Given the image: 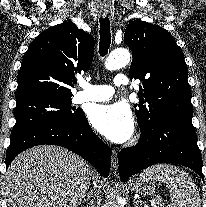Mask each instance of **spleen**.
Returning <instances> with one entry per match:
<instances>
[{
    "label": "spleen",
    "mask_w": 206,
    "mask_h": 207,
    "mask_svg": "<svg viewBox=\"0 0 206 207\" xmlns=\"http://www.w3.org/2000/svg\"><path fill=\"white\" fill-rule=\"evenodd\" d=\"M140 176L166 184L170 192L171 207H201L196 184L179 167L171 164H158L145 169Z\"/></svg>",
    "instance_id": "spleen-1"
}]
</instances>
